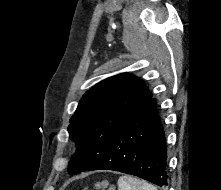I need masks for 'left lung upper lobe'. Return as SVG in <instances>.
<instances>
[{
  "label": "left lung upper lobe",
  "mask_w": 221,
  "mask_h": 190,
  "mask_svg": "<svg viewBox=\"0 0 221 190\" xmlns=\"http://www.w3.org/2000/svg\"><path fill=\"white\" fill-rule=\"evenodd\" d=\"M151 98L144 82L129 73L109 77L88 90L68 126L76 143L69 174L88 170L116 131Z\"/></svg>",
  "instance_id": "5c2ea615"
}]
</instances>
